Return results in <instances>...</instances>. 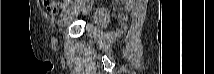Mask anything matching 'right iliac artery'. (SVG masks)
Wrapping results in <instances>:
<instances>
[{
	"mask_svg": "<svg viewBox=\"0 0 214 74\" xmlns=\"http://www.w3.org/2000/svg\"><path fill=\"white\" fill-rule=\"evenodd\" d=\"M68 3H66V5H67ZM69 11V9H67V10H65V13H67Z\"/></svg>",
	"mask_w": 214,
	"mask_h": 74,
	"instance_id": "obj_1",
	"label": "right iliac artery"
}]
</instances>
